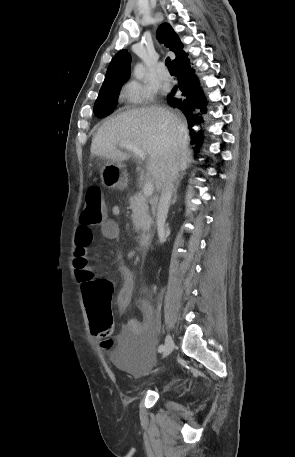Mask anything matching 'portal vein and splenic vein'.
I'll return each instance as SVG.
<instances>
[{
	"label": "portal vein and splenic vein",
	"instance_id": "portal-vein-and-splenic-vein-1",
	"mask_svg": "<svg viewBox=\"0 0 295 457\" xmlns=\"http://www.w3.org/2000/svg\"><path fill=\"white\" fill-rule=\"evenodd\" d=\"M119 145H120V147L126 148L127 150L131 151L140 159L145 160L146 153L141 148L134 145L133 143L125 141V142H121ZM153 191H154V186H153L152 180L146 181V183L144 184V187H143L144 195L151 196L153 194Z\"/></svg>",
	"mask_w": 295,
	"mask_h": 457
}]
</instances>
